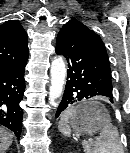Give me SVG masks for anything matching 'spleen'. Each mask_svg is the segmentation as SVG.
Wrapping results in <instances>:
<instances>
[{"label":"spleen","mask_w":130,"mask_h":153,"mask_svg":"<svg viewBox=\"0 0 130 153\" xmlns=\"http://www.w3.org/2000/svg\"><path fill=\"white\" fill-rule=\"evenodd\" d=\"M76 108L70 107L61 116L59 130L65 136L71 135L69 120L75 114ZM85 153H123L117 127L111 122H107L100 129L99 137L91 144L87 141L82 142Z\"/></svg>","instance_id":"3e777b00"}]
</instances>
